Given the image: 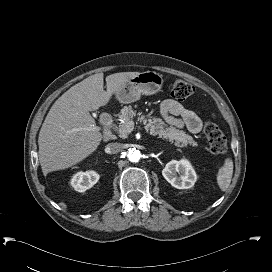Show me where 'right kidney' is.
Masks as SVG:
<instances>
[{
	"mask_svg": "<svg viewBox=\"0 0 272 272\" xmlns=\"http://www.w3.org/2000/svg\"><path fill=\"white\" fill-rule=\"evenodd\" d=\"M99 180V174L95 171L77 172L72 176L71 185L78 192H85Z\"/></svg>",
	"mask_w": 272,
	"mask_h": 272,
	"instance_id": "1",
	"label": "right kidney"
}]
</instances>
